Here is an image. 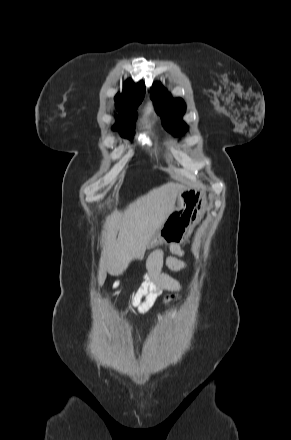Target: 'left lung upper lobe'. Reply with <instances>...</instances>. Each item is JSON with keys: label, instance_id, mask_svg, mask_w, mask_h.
Instances as JSON below:
<instances>
[{"label": "left lung upper lobe", "instance_id": "5c2ea615", "mask_svg": "<svg viewBox=\"0 0 291 440\" xmlns=\"http://www.w3.org/2000/svg\"><path fill=\"white\" fill-rule=\"evenodd\" d=\"M150 95L166 130L174 136L185 134L188 127L182 121V116L186 109L184 101L181 98L173 99L161 83L153 84L150 89Z\"/></svg>", "mask_w": 291, "mask_h": 440}]
</instances>
